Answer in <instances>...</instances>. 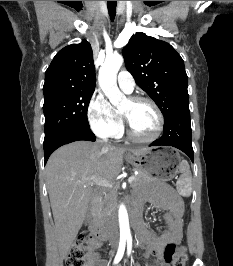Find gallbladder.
<instances>
[{"label": "gallbladder", "instance_id": "gallbladder-1", "mask_svg": "<svg viewBox=\"0 0 233 266\" xmlns=\"http://www.w3.org/2000/svg\"><path fill=\"white\" fill-rule=\"evenodd\" d=\"M89 221V214H87V217H86V222Z\"/></svg>", "mask_w": 233, "mask_h": 266}]
</instances>
